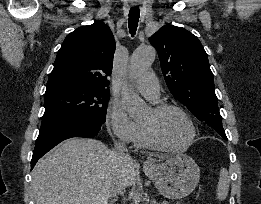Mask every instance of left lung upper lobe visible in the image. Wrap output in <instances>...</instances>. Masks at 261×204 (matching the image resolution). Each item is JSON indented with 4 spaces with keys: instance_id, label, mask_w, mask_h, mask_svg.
I'll list each match as a JSON object with an SVG mask.
<instances>
[{
    "instance_id": "left-lung-upper-lobe-1",
    "label": "left lung upper lobe",
    "mask_w": 261,
    "mask_h": 204,
    "mask_svg": "<svg viewBox=\"0 0 261 204\" xmlns=\"http://www.w3.org/2000/svg\"><path fill=\"white\" fill-rule=\"evenodd\" d=\"M156 48L166 84L173 96L200 121L227 140L214 90L207 53L199 39L184 28L166 25L149 38Z\"/></svg>"
}]
</instances>
